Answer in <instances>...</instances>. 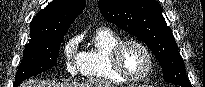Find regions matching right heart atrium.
Instances as JSON below:
<instances>
[{"mask_svg":"<svg viewBox=\"0 0 205 87\" xmlns=\"http://www.w3.org/2000/svg\"><path fill=\"white\" fill-rule=\"evenodd\" d=\"M64 56L66 69L72 75L80 71L81 67V54L76 50V41L74 39L67 42L64 47Z\"/></svg>","mask_w":205,"mask_h":87,"instance_id":"obj_1","label":"right heart atrium"}]
</instances>
